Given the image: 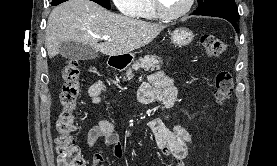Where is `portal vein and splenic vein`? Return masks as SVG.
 I'll use <instances>...</instances> for the list:
<instances>
[{
	"mask_svg": "<svg viewBox=\"0 0 277 166\" xmlns=\"http://www.w3.org/2000/svg\"><path fill=\"white\" fill-rule=\"evenodd\" d=\"M100 39H104L106 41H110V37L109 36H102V37H99Z\"/></svg>",
	"mask_w": 277,
	"mask_h": 166,
	"instance_id": "obj_1",
	"label": "portal vein and splenic vein"
}]
</instances>
